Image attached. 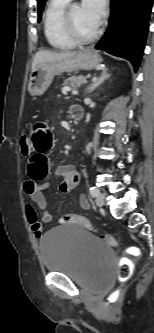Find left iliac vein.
I'll return each instance as SVG.
<instances>
[{
	"label": "left iliac vein",
	"instance_id": "obj_1",
	"mask_svg": "<svg viewBox=\"0 0 154 333\" xmlns=\"http://www.w3.org/2000/svg\"><path fill=\"white\" fill-rule=\"evenodd\" d=\"M104 203H105V194L99 192V194L96 197V205L98 207H102L104 205Z\"/></svg>",
	"mask_w": 154,
	"mask_h": 333
}]
</instances>
